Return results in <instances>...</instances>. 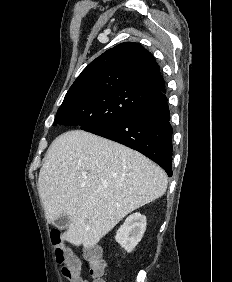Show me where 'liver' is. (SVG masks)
I'll list each match as a JSON object with an SVG mask.
<instances>
[{"mask_svg":"<svg viewBox=\"0 0 232 282\" xmlns=\"http://www.w3.org/2000/svg\"><path fill=\"white\" fill-rule=\"evenodd\" d=\"M167 176L141 153L83 130H71L50 145L38 191L48 223L65 214L61 236L94 247L128 213L164 195Z\"/></svg>","mask_w":232,"mask_h":282,"instance_id":"1","label":"liver"}]
</instances>
